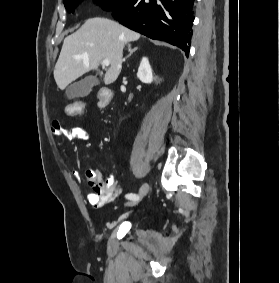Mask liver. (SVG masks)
I'll list each match as a JSON object with an SVG mask.
<instances>
[{"label":"liver","mask_w":280,"mask_h":283,"mask_svg":"<svg viewBox=\"0 0 280 283\" xmlns=\"http://www.w3.org/2000/svg\"><path fill=\"white\" fill-rule=\"evenodd\" d=\"M139 38V33L110 19H88L79 30L64 39L54 69L57 86L65 89L86 72L98 70L104 59L110 61V67L105 74L101 71L100 76L106 85L113 83L121 72L125 45Z\"/></svg>","instance_id":"liver-1"}]
</instances>
